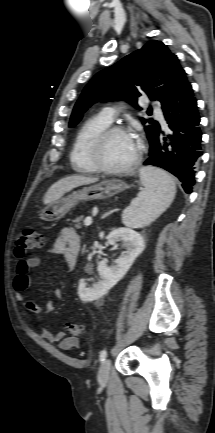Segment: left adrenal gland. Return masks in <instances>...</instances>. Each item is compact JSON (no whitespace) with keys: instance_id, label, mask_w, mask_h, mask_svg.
<instances>
[{"instance_id":"left-adrenal-gland-1","label":"left adrenal gland","mask_w":215,"mask_h":433,"mask_svg":"<svg viewBox=\"0 0 215 433\" xmlns=\"http://www.w3.org/2000/svg\"><path fill=\"white\" fill-rule=\"evenodd\" d=\"M115 210H112L110 212H107L106 214H104V216L102 218H105L106 216L110 215L111 213H113Z\"/></svg>"}]
</instances>
